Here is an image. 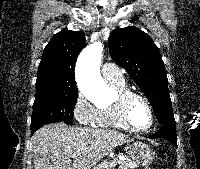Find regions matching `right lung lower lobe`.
<instances>
[{"label":"right lung lower lobe","instance_id":"1","mask_svg":"<svg viewBox=\"0 0 200 169\" xmlns=\"http://www.w3.org/2000/svg\"><path fill=\"white\" fill-rule=\"evenodd\" d=\"M40 127H42V126H38V127H35V128H33V129H31V134H33L37 129H39Z\"/></svg>","mask_w":200,"mask_h":169}]
</instances>
